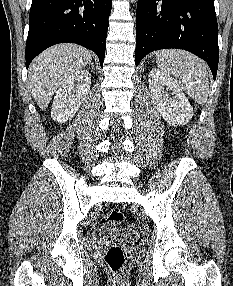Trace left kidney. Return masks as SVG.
Segmentation results:
<instances>
[{
	"instance_id": "obj_1",
	"label": "left kidney",
	"mask_w": 233,
	"mask_h": 286,
	"mask_svg": "<svg viewBox=\"0 0 233 286\" xmlns=\"http://www.w3.org/2000/svg\"><path fill=\"white\" fill-rule=\"evenodd\" d=\"M149 89L153 102L163 119L172 126L187 124L193 109L178 84L157 68L149 73Z\"/></svg>"
}]
</instances>
